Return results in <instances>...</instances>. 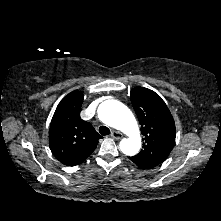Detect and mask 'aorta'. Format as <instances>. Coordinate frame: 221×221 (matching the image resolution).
I'll return each instance as SVG.
<instances>
[{"label": "aorta", "instance_id": "obj_1", "mask_svg": "<svg viewBox=\"0 0 221 221\" xmlns=\"http://www.w3.org/2000/svg\"><path fill=\"white\" fill-rule=\"evenodd\" d=\"M98 115L102 122L129 136L122 139L119 144L120 150L125 155L134 156L139 152L141 148L139 126L125 105L116 100L104 101L99 106Z\"/></svg>", "mask_w": 221, "mask_h": 221}]
</instances>
